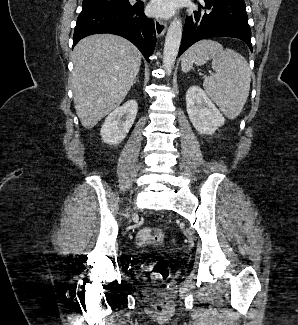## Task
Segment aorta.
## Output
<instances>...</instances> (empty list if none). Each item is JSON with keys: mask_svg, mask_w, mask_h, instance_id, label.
<instances>
[{"mask_svg": "<svg viewBox=\"0 0 298 325\" xmlns=\"http://www.w3.org/2000/svg\"><path fill=\"white\" fill-rule=\"evenodd\" d=\"M182 32L183 22L179 16H174L167 28L163 46L162 66L167 76H170L174 68L182 40Z\"/></svg>", "mask_w": 298, "mask_h": 325, "instance_id": "1", "label": "aorta"}]
</instances>
